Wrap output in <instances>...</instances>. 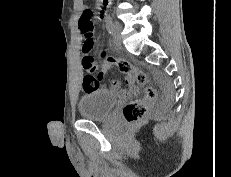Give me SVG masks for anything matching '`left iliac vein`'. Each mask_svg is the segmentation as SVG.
<instances>
[{
    "instance_id": "obj_1",
    "label": "left iliac vein",
    "mask_w": 231,
    "mask_h": 177,
    "mask_svg": "<svg viewBox=\"0 0 231 177\" xmlns=\"http://www.w3.org/2000/svg\"><path fill=\"white\" fill-rule=\"evenodd\" d=\"M122 26L118 22H113L111 27L112 41L116 46L121 44Z\"/></svg>"
}]
</instances>
